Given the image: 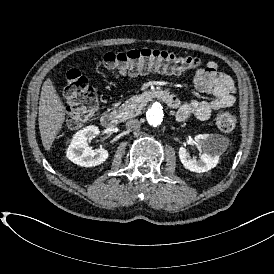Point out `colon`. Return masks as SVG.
Masks as SVG:
<instances>
[{
    "label": "colon",
    "mask_w": 274,
    "mask_h": 274,
    "mask_svg": "<svg viewBox=\"0 0 274 274\" xmlns=\"http://www.w3.org/2000/svg\"><path fill=\"white\" fill-rule=\"evenodd\" d=\"M99 64L123 75H136L147 71L178 74L198 68L202 61L195 56L143 48L105 53L99 59ZM65 79L63 94L69 105L66 122L70 127H78L86 115L98 110L97 90L77 68H69ZM237 123L236 116L229 111H221L215 119L216 127L225 133L232 132Z\"/></svg>",
    "instance_id": "1"
}]
</instances>
